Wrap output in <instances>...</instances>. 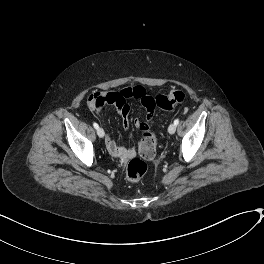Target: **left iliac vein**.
Instances as JSON below:
<instances>
[{"mask_svg":"<svg viewBox=\"0 0 264 264\" xmlns=\"http://www.w3.org/2000/svg\"><path fill=\"white\" fill-rule=\"evenodd\" d=\"M176 131V125L174 123L170 124L169 127H168V132L170 134H174Z\"/></svg>","mask_w":264,"mask_h":264,"instance_id":"obj_1","label":"left iliac vein"}]
</instances>
